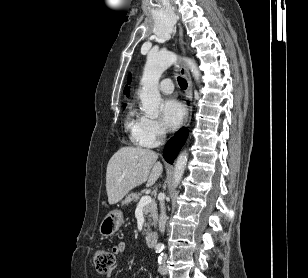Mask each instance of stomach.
Returning a JSON list of instances; mask_svg holds the SVG:
<instances>
[{"label": "stomach", "mask_w": 308, "mask_h": 278, "mask_svg": "<svg viewBox=\"0 0 308 278\" xmlns=\"http://www.w3.org/2000/svg\"><path fill=\"white\" fill-rule=\"evenodd\" d=\"M123 223V214L120 210L109 212L102 220L99 232L104 237L112 236Z\"/></svg>", "instance_id": "stomach-1"}]
</instances>
